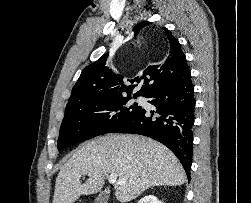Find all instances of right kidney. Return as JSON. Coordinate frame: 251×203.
<instances>
[{"label":"right kidney","mask_w":251,"mask_h":203,"mask_svg":"<svg viewBox=\"0 0 251 203\" xmlns=\"http://www.w3.org/2000/svg\"><path fill=\"white\" fill-rule=\"evenodd\" d=\"M138 203H162L160 200L157 199L154 195H148L140 199Z\"/></svg>","instance_id":"1"}]
</instances>
